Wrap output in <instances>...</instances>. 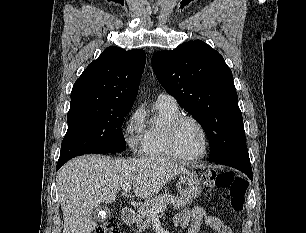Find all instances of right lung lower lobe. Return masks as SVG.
<instances>
[{
    "label": "right lung lower lobe",
    "mask_w": 306,
    "mask_h": 233,
    "mask_svg": "<svg viewBox=\"0 0 306 233\" xmlns=\"http://www.w3.org/2000/svg\"><path fill=\"white\" fill-rule=\"evenodd\" d=\"M67 161H62L57 163V170Z\"/></svg>",
    "instance_id": "right-lung-lower-lobe-1"
}]
</instances>
